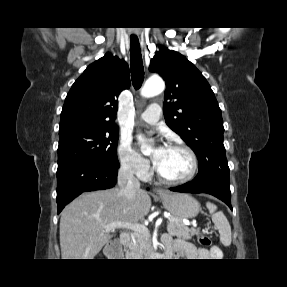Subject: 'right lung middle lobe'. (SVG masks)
Returning a JSON list of instances; mask_svg holds the SVG:
<instances>
[{
	"label": "right lung middle lobe",
	"mask_w": 287,
	"mask_h": 287,
	"mask_svg": "<svg viewBox=\"0 0 287 287\" xmlns=\"http://www.w3.org/2000/svg\"><path fill=\"white\" fill-rule=\"evenodd\" d=\"M118 128L77 123L59 129L58 168L74 162H89L119 168Z\"/></svg>",
	"instance_id": "obj_1"
}]
</instances>
